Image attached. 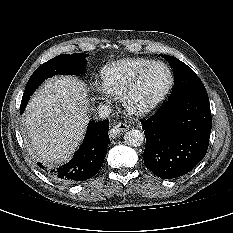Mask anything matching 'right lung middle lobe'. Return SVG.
<instances>
[{"label":"right lung middle lobe","mask_w":233,"mask_h":233,"mask_svg":"<svg viewBox=\"0 0 233 233\" xmlns=\"http://www.w3.org/2000/svg\"><path fill=\"white\" fill-rule=\"evenodd\" d=\"M88 54H61L38 67L30 77L23 96H31L45 79L56 74L79 75L85 70V57Z\"/></svg>","instance_id":"obj_1"}]
</instances>
